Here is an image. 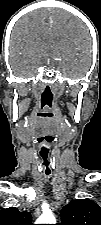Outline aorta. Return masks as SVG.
<instances>
[{
  "label": "aorta",
  "mask_w": 101,
  "mask_h": 225,
  "mask_svg": "<svg viewBox=\"0 0 101 225\" xmlns=\"http://www.w3.org/2000/svg\"><path fill=\"white\" fill-rule=\"evenodd\" d=\"M56 220L50 210L45 211L37 220V224H55Z\"/></svg>",
  "instance_id": "1"
}]
</instances>
